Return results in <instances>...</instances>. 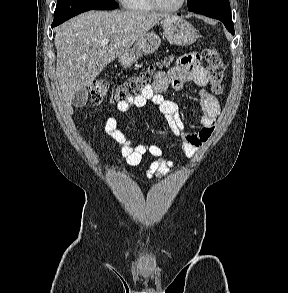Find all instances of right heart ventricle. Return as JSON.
<instances>
[{"label":"right heart ventricle","instance_id":"e07e8e85","mask_svg":"<svg viewBox=\"0 0 288 293\" xmlns=\"http://www.w3.org/2000/svg\"><path fill=\"white\" fill-rule=\"evenodd\" d=\"M123 4L131 11L148 12L154 9L149 0H123Z\"/></svg>","mask_w":288,"mask_h":293}]
</instances>
